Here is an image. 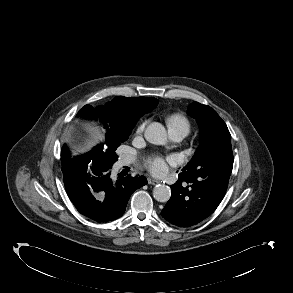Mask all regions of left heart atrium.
<instances>
[{"label": "left heart atrium", "instance_id": "obj_1", "mask_svg": "<svg viewBox=\"0 0 293 293\" xmlns=\"http://www.w3.org/2000/svg\"><path fill=\"white\" fill-rule=\"evenodd\" d=\"M146 167L155 175H164L167 171V162L162 157L151 158L146 162Z\"/></svg>", "mask_w": 293, "mask_h": 293}]
</instances>
